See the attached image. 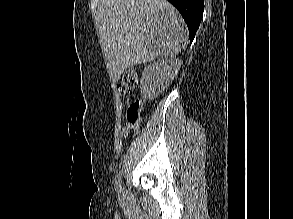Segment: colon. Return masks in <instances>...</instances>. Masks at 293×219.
Instances as JSON below:
<instances>
[{
    "mask_svg": "<svg viewBox=\"0 0 293 219\" xmlns=\"http://www.w3.org/2000/svg\"><path fill=\"white\" fill-rule=\"evenodd\" d=\"M138 82V72L135 69H129L122 75L118 90L122 95L130 96L138 85ZM141 107L142 103L139 100H133L128 104L125 111V120L130 126L136 127L140 123Z\"/></svg>",
    "mask_w": 293,
    "mask_h": 219,
    "instance_id": "1",
    "label": "colon"
}]
</instances>
